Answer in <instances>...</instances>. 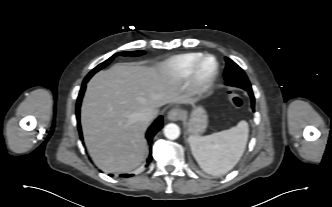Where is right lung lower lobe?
I'll use <instances>...</instances> for the list:
<instances>
[{"label":"right lung lower lobe","mask_w":332,"mask_h":207,"mask_svg":"<svg viewBox=\"0 0 332 207\" xmlns=\"http://www.w3.org/2000/svg\"><path fill=\"white\" fill-rule=\"evenodd\" d=\"M86 83H87V81L84 80L83 84H82V87H81V90H80V93H79V96H78V99H77V106H76L77 126H78V130H79V134H80L81 139H82V132H81V126H80V105H81V100H82V97H83V94H84V91H85V88H86ZM162 127H163V117L160 116L155 120V122L150 126V128L147 131L146 138H147L149 144L152 143V139H153L154 135ZM151 160H152V155H151V148H150V155L147 159V165L151 162ZM124 176L128 177V176H131V175L126 174Z\"/></svg>","instance_id":"right-lung-lower-lobe-1"}]
</instances>
